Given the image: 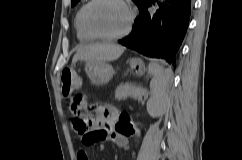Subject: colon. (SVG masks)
<instances>
[{"mask_svg": "<svg viewBox=\"0 0 242 160\" xmlns=\"http://www.w3.org/2000/svg\"><path fill=\"white\" fill-rule=\"evenodd\" d=\"M62 94L64 97H74L72 108L76 114L74 119L75 130L83 135V143L90 145L106 136L105 131L96 130L92 126V121L98 117L92 106L82 102L80 96L75 95L81 88V81L76 76L74 70L65 68L61 73ZM115 128L123 133H132L134 127L130 118L122 114L115 123Z\"/></svg>", "mask_w": 242, "mask_h": 160, "instance_id": "colon-1", "label": "colon"}]
</instances>
